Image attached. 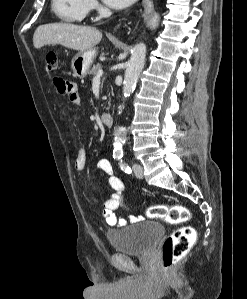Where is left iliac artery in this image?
<instances>
[{
  "instance_id": "obj_1",
  "label": "left iliac artery",
  "mask_w": 247,
  "mask_h": 299,
  "mask_svg": "<svg viewBox=\"0 0 247 299\" xmlns=\"http://www.w3.org/2000/svg\"><path fill=\"white\" fill-rule=\"evenodd\" d=\"M119 165H120L121 170H123L125 173H128V174L131 173L130 167L126 163H123L122 159L120 160Z\"/></svg>"
}]
</instances>
